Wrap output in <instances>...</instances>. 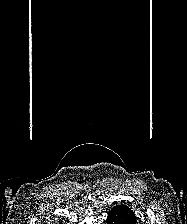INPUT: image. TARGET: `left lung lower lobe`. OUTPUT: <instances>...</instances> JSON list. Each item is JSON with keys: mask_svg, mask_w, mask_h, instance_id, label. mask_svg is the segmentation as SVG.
<instances>
[{"mask_svg": "<svg viewBox=\"0 0 187 224\" xmlns=\"http://www.w3.org/2000/svg\"><path fill=\"white\" fill-rule=\"evenodd\" d=\"M136 216L127 205H116L108 213L107 224H136Z\"/></svg>", "mask_w": 187, "mask_h": 224, "instance_id": "0a47b994", "label": "left lung lower lobe"}]
</instances>
